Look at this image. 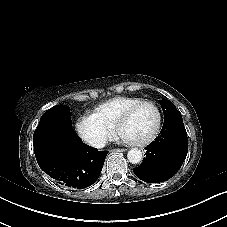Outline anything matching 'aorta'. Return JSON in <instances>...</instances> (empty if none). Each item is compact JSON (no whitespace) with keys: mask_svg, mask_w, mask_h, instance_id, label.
Returning <instances> with one entry per match:
<instances>
[{"mask_svg":"<svg viewBox=\"0 0 227 227\" xmlns=\"http://www.w3.org/2000/svg\"><path fill=\"white\" fill-rule=\"evenodd\" d=\"M127 158L130 163L138 164L142 161V152L138 148H131L127 153Z\"/></svg>","mask_w":227,"mask_h":227,"instance_id":"aorta-1","label":"aorta"}]
</instances>
